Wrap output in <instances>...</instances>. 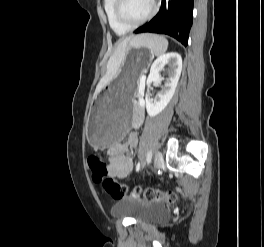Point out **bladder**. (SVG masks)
Returning a JSON list of instances; mask_svg holds the SVG:
<instances>
[{"label": "bladder", "instance_id": "obj_1", "mask_svg": "<svg viewBox=\"0 0 264 247\" xmlns=\"http://www.w3.org/2000/svg\"><path fill=\"white\" fill-rule=\"evenodd\" d=\"M112 214L117 217H131L140 222H155L163 220L166 211L154 202L121 199L112 207Z\"/></svg>", "mask_w": 264, "mask_h": 247}]
</instances>
